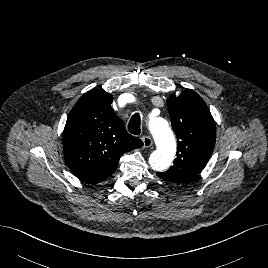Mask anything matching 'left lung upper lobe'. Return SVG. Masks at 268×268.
<instances>
[{"instance_id":"1","label":"left lung upper lobe","mask_w":268,"mask_h":268,"mask_svg":"<svg viewBox=\"0 0 268 268\" xmlns=\"http://www.w3.org/2000/svg\"><path fill=\"white\" fill-rule=\"evenodd\" d=\"M172 128L178 140L177 157L165 172L157 176L165 181L184 183L198 176L207 164L215 145L214 119L203 99L186 89L167 100Z\"/></svg>"}]
</instances>
